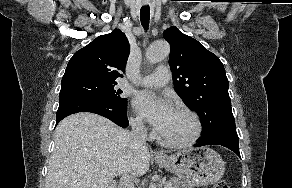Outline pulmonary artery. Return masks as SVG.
Here are the masks:
<instances>
[{
  "label": "pulmonary artery",
  "instance_id": "1",
  "mask_svg": "<svg viewBox=\"0 0 292 188\" xmlns=\"http://www.w3.org/2000/svg\"><path fill=\"white\" fill-rule=\"evenodd\" d=\"M169 79V69L167 67H158L153 73L142 77L139 80V84L145 87L159 88L167 84Z\"/></svg>",
  "mask_w": 292,
  "mask_h": 188
}]
</instances>
